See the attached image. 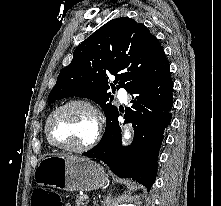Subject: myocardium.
Masks as SVG:
<instances>
[{"mask_svg":"<svg viewBox=\"0 0 221 206\" xmlns=\"http://www.w3.org/2000/svg\"><path fill=\"white\" fill-rule=\"evenodd\" d=\"M72 106H80L85 108L89 113L92 115L93 122H94V132L92 138L85 144L77 147L73 146H67V145H61L56 143L51 136V125L52 122L57 114L64 111L65 109L72 107ZM102 133V123L100 115L96 109V107L89 101L84 99H72L69 100L60 106H58L56 109H54L51 114L49 115L46 125H45V134L48 142L55 148L67 151V152H73V153H84L92 149L99 141Z\"/></svg>","mask_w":221,"mask_h":206,"instance_id":"obj_1","label":"myocardium"}]
</instances>
